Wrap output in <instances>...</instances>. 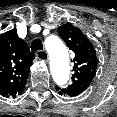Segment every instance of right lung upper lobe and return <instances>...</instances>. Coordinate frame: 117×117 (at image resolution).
Returning <instances> with one entry per match:
<instances>
[{
  "instance_id": "obj_1",
  "label": "right lung upper lobe",
  "mask_w": 117,
  "mask_h": 117,
  "mask_svg": "<svg viewBox=\"0 0 117 117\" xmlns=\"http://www.w3.org/2000/svg\"><path fill=\"white\" fill-rule=\"evenodd\" d=\"M34 54L12 29L0 35V95H20L30 73Z\"/></svg>"
}]
</instances>
